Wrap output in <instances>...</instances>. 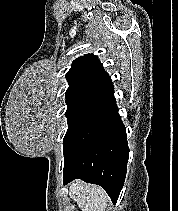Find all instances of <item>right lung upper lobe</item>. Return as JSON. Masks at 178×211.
<instances>
[{
    "instance_id": "1",
    "label": "right lung upper lobe",
    "mask_w": 178,
    "mask_h": 211,
    "mask_svg": "<svg viewBox=\"0 0 178 211\" xmlns=\"http://www.w3.org/2000/svg\"><path fill=\"white\" fill-rule=\"evenodd\" d=\"M66 78L69 83L66 91L68 106L79 103L96 104L114 93L110 76L93 54L75 59Z\"/></svg>"
}]
</instances>
